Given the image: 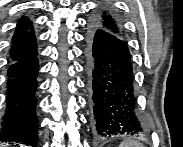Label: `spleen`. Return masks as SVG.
<instances>
[{
	"instance_id": "obj_1",
	"label": "spleen",
	"mask_w": 183,
	"mask_h": 147,
	"mask_svg": "<svg viewBox=\"0 0 183 147\" xmlns=\"http://www.w3.org/2000/svg\"><path fill=\"white\" fill-rule=\"evenodd\" d=\"M119 147H143V145L136 141L125 140L120 144Z\"/></svg>"
}]
</instances>
